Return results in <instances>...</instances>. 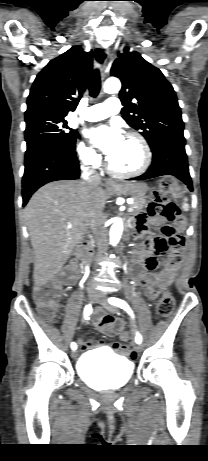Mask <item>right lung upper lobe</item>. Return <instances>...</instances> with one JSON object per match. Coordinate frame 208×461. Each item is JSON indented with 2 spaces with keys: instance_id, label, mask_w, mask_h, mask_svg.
<instances>
[{
  "instance_id": "1",
  "label": "right lung upper lobe",
  "mask_w": 208,
  "mask_h": 461,
  "mask_svg": "<svg viewBox=\"0 0 208 461\" xmlns=\"http://www.w3.org/2000/svg\"><path fill=\"white\" fill-rule=\"evenodd\" d=\"M92 61V52L81 46L51 60L33 82L25 116H66L74 111L87 87Z\"/></svg>"
}]
</instances>
